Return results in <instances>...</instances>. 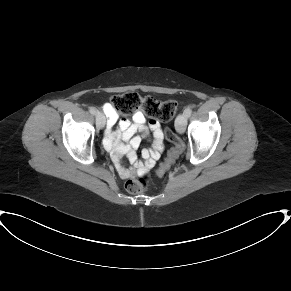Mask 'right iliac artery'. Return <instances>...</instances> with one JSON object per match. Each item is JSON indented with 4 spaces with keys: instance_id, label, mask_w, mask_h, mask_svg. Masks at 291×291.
I'll return each mask as SVG.
<instances>
[{
    "instance_id": "obj_1",
    "label": "right iliac artery",
    "mask_w": 291,
    "mask_h": 291,
    "mask_svg": "<svg viewBox=\"0 0 291 291\" xmlns=\"http://www.w3.org/2000/svg\"><path fill=\"white\" fill-rule=\"evenodd\" d=\"M89 112H90L91 114H93V115H96L97 110H96V108H94V107H89Z\"/></svg>"
}]
</instances>
